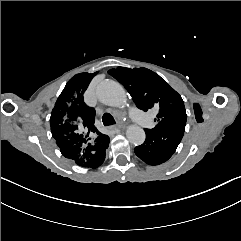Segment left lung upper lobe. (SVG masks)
Instances as JSON below:
<instances>
[{
    "mask_svg": "<svg viewBox=\"0 0 241 241\" xmlns=\"http://www.w3.org/2000/svg\"><path fill=\"white\" fill-rule=\"evenodd\" d=\"M108 73L124 85L139 109H159L158 124L153 129L145 130L156 131L185 126L187 115L181 96L158 74L143 67H118Z\"/></svg>",
    "mask_w": 241,
    "mask_h": 241,
    "instance_id": "obj_1",
    "label": "left lung upper lobe"
}]
</instances>
